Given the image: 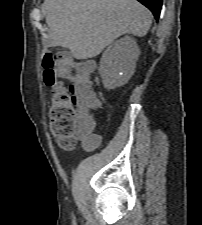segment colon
Segmentation results:
<instances>
[{"instance_id": "5ec220e1", "label": "colon", "mask_w": 202, "mask_h": 225, "mask_svg": "<svg viewBox=\"0 0 202 225\" xmlns=\"http://www.w3.org/2000/svg\"><path fill=\"white\" fill-rule=\"evenodd\" d=\"M44 83L52 88L48 109L49 129L60 148L68 150L80 142L89 148L99 142L90 127L79 125L76 120V100L86 97L90 106L100 108L92 88L91 75L78 60H69L62 55L47 53L42 63ZM67 81L68 85L63 81Z\"/></svg>"}]
</instances>
